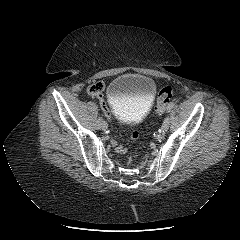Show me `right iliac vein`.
<instances>
[{
	"instance_id": "1",
	"label": "right iliac vein",
	"mask_w": 240,
	"mask_h": 240,
	"mask_svg": "<svg viewBox=\"0 0 240 240\" xmlns=\"http://www.w3.org/2000/svg\"><path fill=\"white\" fill-rule=\"evenodd\" d=\"M107 127H108L107 123H106L105 121H102V122H101V125H100V128H101L102 130H106Z\"/></svg>"
}]
</instances>
